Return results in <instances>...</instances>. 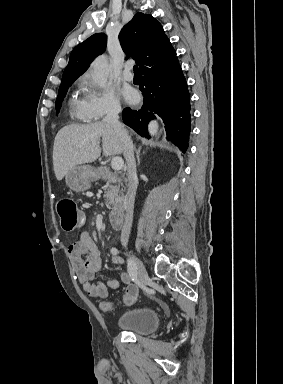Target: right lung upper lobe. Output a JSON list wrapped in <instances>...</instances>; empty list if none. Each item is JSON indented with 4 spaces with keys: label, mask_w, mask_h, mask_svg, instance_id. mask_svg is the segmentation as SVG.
Segmentation results:
<instances>
[{
    "label": "right lung upper lobe",
    "mask_w": 283,
    "mask_h": 384,
    "mask_svg": "<svg viewBox=\"0 0 283 384\" xmlns=\"http://www.w3.org/2000/svg\"><path fill=\"white\" fill-rule=\"evenodd\" d=\"M119 40L124 52L139 64L141 77L164 71L178 62L176 52L163 27L151 15L136 13L122 28ZM106 44V35L96 33L77 45L71 52L61 84L74 82L81 76L92 60L105 51Z\"/></svg>",
    "instance_id": "obj_1"
}]
</instances>
